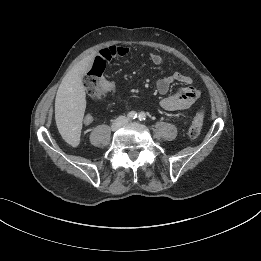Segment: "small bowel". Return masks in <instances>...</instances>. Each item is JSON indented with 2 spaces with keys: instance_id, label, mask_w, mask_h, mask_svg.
<instances>
[{
  "instance_id": "obj_1",
  "label": "small bowel",
  "mask_w": 261,
  "mask_h": 261,
  "mask_svg": "<svg viewBox=\"0 0 261 261\" xmlns=\"http://www.w3.org/2000/svg\"><path fill=\"white\" fill-rule=\"evenodd\" d=\"M129 48L125 45H111L104 47L100 50L95 60L106 62L114 58L125 57L129 54ZM150 60L155 66L163 65V58L157 54H150ZM108 93L112 92L115 88L113 82L105 80ZM174 82H179L183 86L174 93L169 94L171 85ZM157 90L164 97L160 101V106L166 111H179L192 107L199 99L200 92L192 85V80L189 76L180 72H174L170 75L164 76L156 82ZM94 118L92 115L87 114L83 118V124L89 126L92 124Z\"/></svg>"
}]
</instances>
